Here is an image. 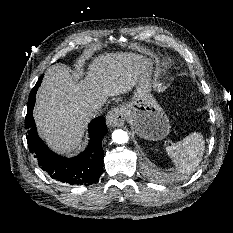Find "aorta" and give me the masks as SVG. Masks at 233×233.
I'll return each mask as SVG.
<instances>
[{"label":"aorta","instance_id":"1","mask_svg":"<svg viewBox=\"0 0 233 233\" xmlns=\"http://www.w3.org/2000/svg\"><path fill=\"white\" fill-rule=\"evenodd\" d=\"M112 140H113V142H115L117 144H125L128 142L129 137L125 131H123L121 129H117V130L113 131V133H112Z\"/></svg>","mask_w":233,"mask_h":233}]
</instances>
